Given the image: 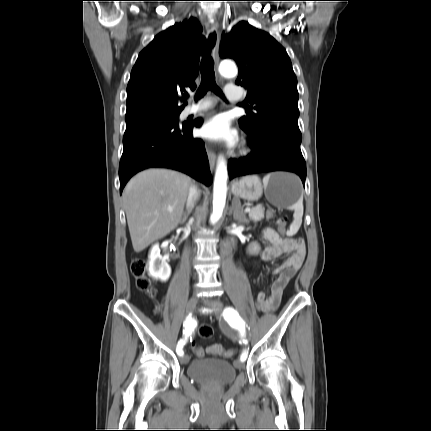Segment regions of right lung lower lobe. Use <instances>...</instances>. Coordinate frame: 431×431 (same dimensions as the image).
<instances>
[{
  "label": "right lung lower lobe",
  "instance_id": "1",
  "mask_svg": "<svg viewBox=\"0 0 431 431\" xmlns=\"http://www.w3.org/2000/svg\"><path fill=\"white\" fill-rule=\"evenodd\" d=\"M201 119L178 124L177 120L152 119L126 126L120 160V193L137 172L170 168L184 172L209 186L212 181L208 158L201 139L192 137Z\"/></svg>",
  "mask_w": 431,
  "mask_h": 431
}]
</instances>
